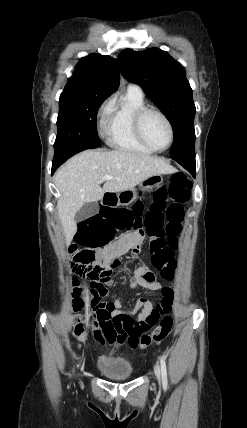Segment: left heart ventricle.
Segmentation results:
<instances>
[{"label":"left heart ventricle","instance_id":"left-heart-ventricle-1","mask_svg":"<svg viewBox=\"0 0 247 428\" xmlns=\"http://www.w3.org/2000/svg\"><path fill=\"white\" fill-rule=\"evenodd\" d=\"M143 131L149 143L155 148H164L169 141V130L165 121L155 113H149L143 120Z\"/></svg>","mask_w":247,"mask_h":428}]
</instances>
